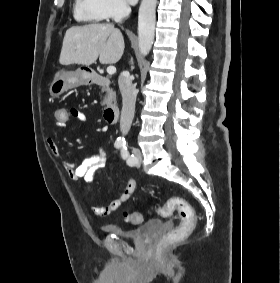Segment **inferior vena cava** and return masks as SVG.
Listing matches in <instances>:
<instances>
[{"label":"inferior vena cava","instance_id":"1","mask_svg":"<svg viewBox=\"0 0 280 283\" xmlns=\"http://www.w3.org/2000/svg\"><path fill=\"white\" fill-rule=\"evenodd\" d=\"M121 13L126 17L131 13V8L127 4H123ZM118 84L123 99L120 130L122 135H126L130 130L134 118L137 93L135 87L132 85L130 75L126 71L120 74Z\"/></svg>","mask_w":280,"mask_h":283}]
</instances>
